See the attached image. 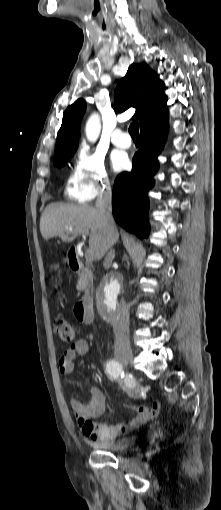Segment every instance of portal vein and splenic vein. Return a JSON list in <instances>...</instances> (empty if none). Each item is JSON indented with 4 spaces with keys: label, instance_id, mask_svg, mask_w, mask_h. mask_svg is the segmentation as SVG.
Here are the masks:
<instances>
[{
    "label": "portal vein and splenic vein",
    "instance_id": "1",
    "mask_svg": "<svg viewBox=\"0 0 221 510\" xmlns=\"http://www.w3.org/2000/svg\"><path fill=\"white\" fill-rule=\"evenodd\" d=\"M71 231L73 230L72 228H69ZM79 234L82 235V237H85L86 236V233L81 231ZM85 258H86V261H89V262H92L94 260V251L92 249H87L85 251Z\"/></svg>",
    "mask_w": 221,
    "mask_h": 510
}]
</instances>
